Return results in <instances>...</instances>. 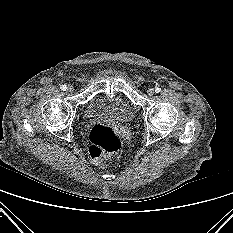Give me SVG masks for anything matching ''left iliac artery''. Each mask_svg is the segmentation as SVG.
<instances>
[{
	"instance_id": "obj_1",
	"label": "left iliac artery",
	"mask_w": 233,
	"mask_h": 233,
	"mask_svg": "<svg viewBox=\"0 0 233 233\" xmlns=\"http://www.w3.org/2000/svg\"><path fill=\"white\" fill-rule=\"evenodd\" d=\"M160 91H161V88H160V87H156V88H155V92H156V93H159Z\"/></svg>"
}]
</instances>
